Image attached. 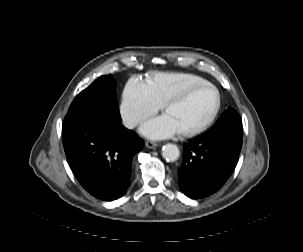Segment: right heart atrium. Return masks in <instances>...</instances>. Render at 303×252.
<instances>
[{"mask_svg":"<svg viewBox=\"0 0 303 252\" xmlns=\"http://www.w3.org/2000/svg\"><path fill=\"white\" fill-rule=\"evenodd\" d=\"M160 109L149 95L146 85L137 78H131L123 91L119 113L127 128H134L154 115Z\"/></svg>","mask_w":303,"mask_h":252,"instance_id":"obj_1","label":"right heart atrium"}]
</instances>
